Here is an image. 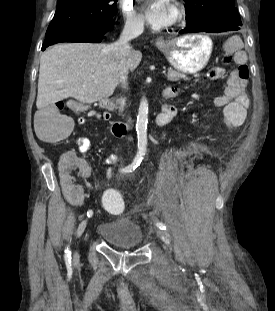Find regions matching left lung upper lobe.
I'll list each match as a JSON object with an SVG mask.
<instances>
[{"label":"left lung upper lobe","mask_w":275,"mask_h":311,"mask_svg":"<svg viewBox=\"0 0 275 311\" xmlns=\"http://www.w3.org/2000/svg\"><path fill=\"white\" fill-rule=\"evenodd\" d=\"M186 3V23L191 24L206 19L220 18L227 23L242 26L234 0H184Z\"/></svg>","instance_id":"5c2ea615"}]
</instances>
